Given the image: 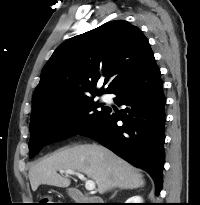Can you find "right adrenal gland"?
I'll return each mask as SVG.
<instances>
[{
  "label": "right adrenal gland",
  "instance_id": "right-adrenal-gland-1",
  "mask_svg": "<svg viewBox=\"0 0 200 205\" xmlns=\"http://www.w3.org/2000/svg\"><path fill=\"white\" fill-rule=\"evenodd\" d=\"M122 189H124V188H121L120 190H122ZM117 192H118V190H116V191L113 193V195L110 197V199L114 198L115 195L117 194Z\"/></svg>",
  "mask_w": 200,
  "mask_h": 205
}]
</instances>
